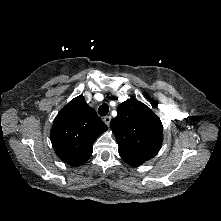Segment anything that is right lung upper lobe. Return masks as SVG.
<instances>
[{"instance_id": "cb5924a9", "label": "right lung upper lobe", "mask_w": 221, "mask_h": 221, "mask_svg": "<svg viewBox=\"0 0 221 221\" xmlns=\"http://www.w3.org/2000/svg\"><path fill=\"white\" fill-rule=\"evenodd\" d=\"M107 130L82 95L72 99L55 117L51 142L57 156L71 166L84 164L93 152V143Z\"/></svg>"}]
</instances>
